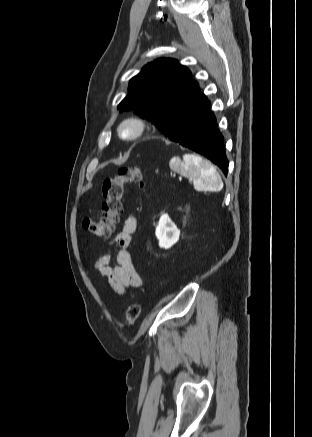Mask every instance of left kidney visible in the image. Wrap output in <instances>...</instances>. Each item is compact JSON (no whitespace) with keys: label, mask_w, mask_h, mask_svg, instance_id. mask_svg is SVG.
<instances>
[{"label":"left kidney","mask_w":312,"mask_h":437,"mask_svg":"<svg viewBox=\"0 0 312 437\" xmlns=\"http://www.w3.org/2000/svg\"><path fill=\"white\" fill-rule=\"evenodd\" d=\"M155 235L159 240V246L168 249L179 240L180 230L168 214H163L156 227Z\"/></svg>","instance_id":"1"}]
</instances>
